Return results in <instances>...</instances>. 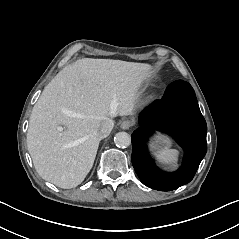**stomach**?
Here are the masks:
<instances>
[{
    "instance_id": "0dacf381",
    "label": "stomach",
    "mask_w": 239,
    "mask_h": 239,
    "mask_svg": "<svg viewBox=\"0 0 239 239\" xmlns=\"http://www.w3.org/2000/svg\"><path fill=\"white\" fill-rule=\"evenodd\" d=\"M167 147H168V142L166 140H163V139L156 140L153 143V148L158 152L161 151L162 149L167 148Z\"/></svg>"
}]
</instances>
